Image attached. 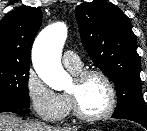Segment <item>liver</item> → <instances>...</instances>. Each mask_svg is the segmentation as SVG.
I'll use <instances>...</instances> for the list:
<instances>
[{
  "label": "liver",
  "instance_id": "liver-1",
  "mask_svg": "<svg viewBox=\"0 0 147 131\" xmlns=\"http://www.w3.org/2000/svg\"><path fill=\"white\" fill-rule=\"evenodd\" d=\"M77 127H53L40 122L23 121L14 114L0 113V131H77Z\"/></svg>",
  "mask_w": 147,
  "mask_h": 131
}]
</instances>
